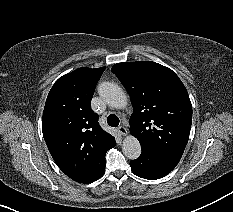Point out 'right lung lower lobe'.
<instances>
[{
	"mask_svg": "<svg viewBox=\"0 0 233 212\" xmlns=\"http://www.w3.org/2000/svg\"><path fill=\"white\" fill-rule=\"evenodd\" d=\"M115 145H116V142H115V140H113L112 143H111L110 148L114 147ZM104 172H105V164H104V166L102 167L101 172H100L99 176L96 178V180H97L98 178H100V177L104 174Z\"/></svg>",
	"mask_w": 233,
	"mask_h": 212,
	"instance_id": "right-lung-lower-lobe-1",
	"label": "right lung lower lobe"
}]
</instances>
